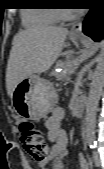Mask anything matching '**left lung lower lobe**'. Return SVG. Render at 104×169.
<instances>
[{"instance_id": "1", "label": "left lung lower lobe", "mask_w": 104, "mask_h": 169, "mask_svg": "<svg viewBox=\"0 0 104 169\" xmlns=\"http://www.w3.org/2000/svg\"><path fill=\"white\" fill-rule=\"evenodd\" d=\"M83 32L94 41H99L104 35V11L102 9H90L83 22Z\"/></svg>"}]
</instances>
